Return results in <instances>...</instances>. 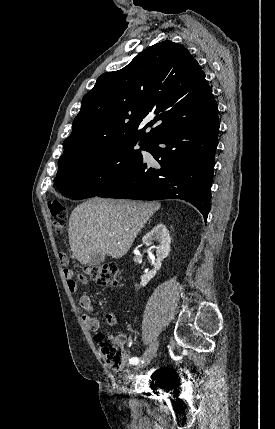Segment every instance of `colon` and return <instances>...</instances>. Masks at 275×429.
I'll return each mask as SVG.
<instances>
[{"label":"colon","mask_w":275,"mask_h":429,"mask_svg":"<svg viewBox=\"0 0 275 429\" xmlns=\"http://www.w3.org/2000/svg\"><path fill=\"white\" fill-rule=\"evenodd\" d=\"M48 208L55 231L62 233L68 222L67 208L57 200L48 202ZM59 258L63 265L67 264L68 260L65 254H60ZM120 275L121 270L117 264L103 263L85 267L84 274L81 276L88 277L102 285L116 286ZM94 339L107 367L113 371L121 370L128 359V355L123 347V339L103 333L96 334Z\"/></svg>","instance_id":"5ec220e1"}]
</instances>
